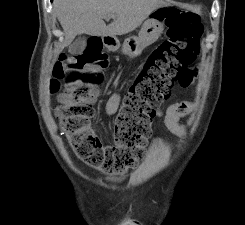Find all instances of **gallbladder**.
<instances>
[{
  "mask_svg": "<svg viewBox=\"0 0 245 225\" xmlns=\"http://www.w3.org/2000/svg\"><path fill=\"white\" fill-rule=\"evenodd\" d=\"M86 47V38L78 37L72 44L69 46V53L73 55H78L83 52Z\"/></svg>",
  "mask_w": 245,
  "mask_h": 225,
  "instance_id": "gallbladder-1",
  "label": "gallbladder"
}]
</instances>
